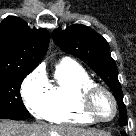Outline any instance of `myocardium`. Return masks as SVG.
I'll use <instances>...</instances> for the list:
<instances>
[{
  "instance_id": "1",
  "label": "myocardium",
  "mask_w": 136,
  "mask_h": 136,
  "mask_svg": "<svg viewBox=\"0 0 136 136\" xmlns=\"http://www.w3.org/2000/svg\"><path fill=\"white\" fill-rule=\"evenodd\" d=\"M99 93L106 94L112 102L113 113L109 118L100 117L94 109V101ZM80 105L84 114L95 122L112 121L118 113V103L114 94L108 88L99 84L89 85L82 90L80 96Z\"/></svg>"
}]
</instances>
